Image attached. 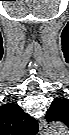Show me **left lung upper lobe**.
<instances>
[{
	"label": "left lung upper lobe",
	"mask_w": 69,
	"mask_h": 135,
	"mask_svg": "<svg viewBox=\"0 0 69 135\" xmlns=\"http://www.w3.org/2000/svg\"><path fill=\"white\" fill-rule=\"evenodd\" d=\"M69 118V100L56 99L52 102L51 107L47 111V121H62L67 123Z\"/></svg>",
	"instance_id": "obj_1"
}]
</instances>
